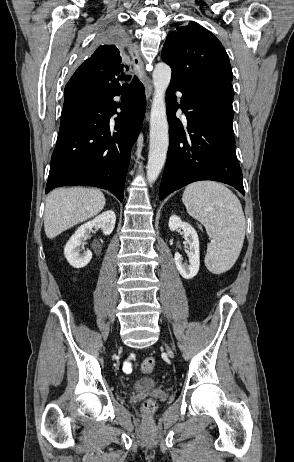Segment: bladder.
I'll return each mask as SVG.
<instances>
[{
	"instance_id": "1",
	"label": "bladder",
	"mask_w": 294,
	"mask_h": 462,
	"mask_svg": "<svg viewBox=\"0 0 294 462\" xmlns=\"http://www.w3.org/2000/svg\"><path fill=\"white\" fill-rule=\"evenodd\" d=\"M156 385L157 381L155 379H141L132 385V391L144 392L153 389Z\"/></svg>"
}]
</instances>
